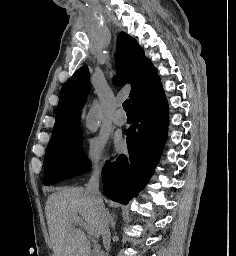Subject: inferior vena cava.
Listing matches in <instances>:
<instances>
[{
	"label": "inferior vena cava",
	"instance_id": "obj_1",
	"mask_svg": "<svg viewBox=\"0 0 236 256\" xmlns=\"http://www.w3.org/2000/svg\"><path fill=\"white\" fill-rule=\"evenodd\" d=\"M99 176L100 170L99 168H95L88 184H86L85 192L87 196H90L92 200H95L96 204H99L100 208L104 210L103 200H101L99 192ZM102 236L104 240V246L106 248L105 256H109L108 252L110 250V232L108 230V220H106V224L104 228H102Z\"/></svg>",
	"mask_w": 236,
	"mask_h": 256
}]
</instances>
